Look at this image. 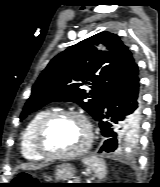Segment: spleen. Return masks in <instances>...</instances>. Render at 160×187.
<instances>
[{
    "instance_id": "obj_1",
    "label": "spleen",
    "mask_w": 160,
    "mask_h": 187,
    "mask_svg": "<svg viewBox=\"0 0 160 187\" xmlns=\"http://www.w3.org/2000/svg\"><path fill=\"white\" fill-rule=\"evenodd\" d=\"M85 164H87L93 172L96 174V176L99 179H102L105 177L107 171H106V165L105 162L98 158H86L83 160Z\"/></svg>"
}]
</instances>
